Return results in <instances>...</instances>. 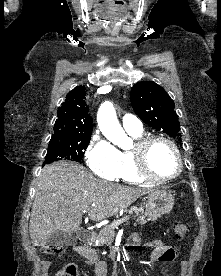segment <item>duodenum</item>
Masks as SVG:
<instances>
[{
    "label": "duodenum",
    "mask_w": 221,
    "mask_h": 276,
    "mask_svg": "<svg viewBox=\"0 0 221 276\" xmlns=\"http://www.w3.org/2000/svg\"><path fill=\"white\" fill-rule=\"evenodd\" d=\"M78 237L80 241L84 244V247H86V245H89L92 242V234L89 230L85 228H81L78 231Z\"/></svg>",
    "instance_id": "410a0bca"
}]
</instances>
